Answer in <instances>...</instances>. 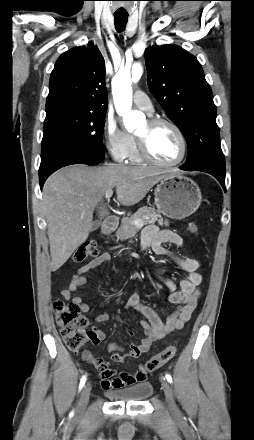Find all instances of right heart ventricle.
I'll return each instance as SVG.
<instances>
[{"label": "right heart ventricle", "mask_w": 254, "mask_h": 440, "mask_svg": "<svg viewBox=\"0 0 254 440\" xmlns=\"http://www.w3.org/2000/svg\"><path fill=\"white\" fill-rule=\"evenodd\" d=\"M129 159L132 163H136V164L142 163L144 161L139 154L136 141H135L134 147L130 153Z\"/></svg>", "instance_id": "1"}]
</instances>
